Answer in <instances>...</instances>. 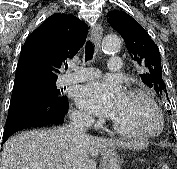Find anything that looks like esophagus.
Returning <instances> with one entry per match:
<instances>
[{
    "label": "esophagus",
    "instance_id": "34e87169",
    "mask_svg": "<svg viewBox=\"0 0 177 169\" xmlns=\"http://www.w3.org/2000/svg\"><path fill=\"white\" fill-rule=\"evenodd\" d=\"M103 36V29L100 24H96L90 31V37L97 46H100V42Z\"/></svg>",
    "mask_w": 177,
    "mask_h": 169
}]
</instances>
